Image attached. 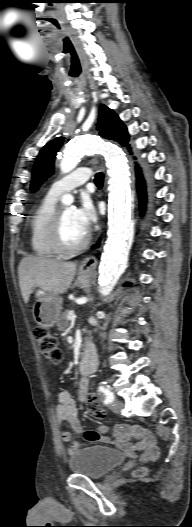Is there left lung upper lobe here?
I'll return each mask as SVG.
<instances>
[{"instance_id": "left-lung-upper-lobe-1", "label": "left lung upper lobe", "mask_w": 192, "mask_h": 527, "mask_svg": "<svg viewBox=\"0 0 192 527\" xmlns=\"http://www.w3.org/2000/svg\"><path fill=\"white\" fill-rule=\"evenodd\" d=\"M99 111V122L97 124L98 130H100L99 134L104 138L118 141L121 145L126 146L129 140L126 126L114 111L105 105H101ZM63 139L59 137L50 141L37 156L31 181L32 191H36L41 183L53 173L54 159L63 143Z\"/></svg>"}]
</instances>
